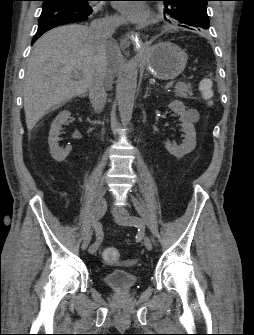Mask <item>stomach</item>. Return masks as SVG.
<instances>
[{"mask_svg": "<svg viewBox=\"0 0 254 335\" xmlns=\"http://www.w3.org/2000/svg\"><path fill=\"white\" fill-rule=\"evenodd\" d=\"M143 59L148 72L159 80H171L185 69L188 56L178 45L166 41L146 48Z\"/></svg>", "mask_w": 254, "mask_h": 335, "instance_id": "stomach-1", "label": "stomach"}]
</instances>
